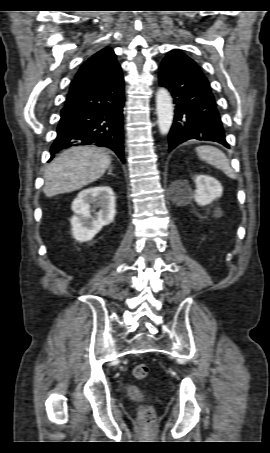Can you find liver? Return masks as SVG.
I'll return each instance as SVG.
<instances>
[{"mask_svg":"<svg viewBox=\"0 0 270 453\" xmlns=\"http://www.w3.org/2000/svg\"><path fill=\"white\" fill-rule=\"evenodd\" d=\"M111 157L101 148L79 146L65 150L45 169L43 192L47 197L70 193L103 176Z\"/></svg>","mask_w":270,"mask_h":453,"instance_id":"obj_1","label":"liver"}]
</instances>
